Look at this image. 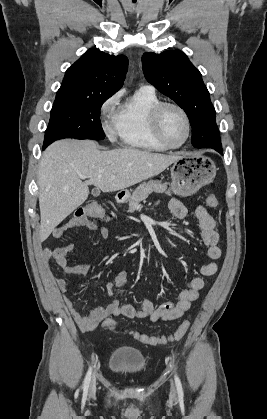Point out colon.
Listing matches in <instances>:
<instances>
[{"instance_id": "1", "label": "colon", "mask_w": 267, "mask_h": 419, "mask_svg": "<svg viewBox=\"0 0 267 419\" xmlns=\"http://www.w3.org/2000/svg\"><path fill=\"white\" fill-rule=\"evenodd\" d=\"M218 204V200L214 195H210L206 199V205L208 207H216ZM106 217L105 210L96 203H91L79 208L75 212V218L78 219H104ZM117 324L112 319H107L103 322V328L105 330H114L116 329ZM190 327L189 321H184L181 323L177 329L173 332L163 335H149L145 333H141L138 331H131L130 333L138 340L143 343L147 344H159V343H167L178 341L184 337Z\"/></svg>"}]
</instances>
